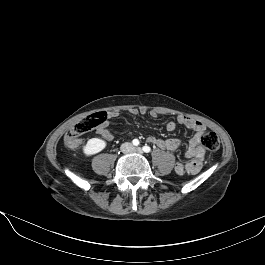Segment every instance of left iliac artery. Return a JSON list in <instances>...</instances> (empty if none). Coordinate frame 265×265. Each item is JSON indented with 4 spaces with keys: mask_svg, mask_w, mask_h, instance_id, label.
<instances>
[{
    "mask_svg": "<svg viewBox=\"0 0 265 265\" xmlns=\"http://www.w3.org/2000/svg\"><path fill=\"white\" fill-rule=\"evenodd\" d=\"M142 150L146 153H149L151 151V148L147 145L143 146Z\"/></svg>",
    "mask_w": 265,
    "mask_h": 265,
    "instance_id": "1",
    "label": "left iliac artery"
}]
</instances>
